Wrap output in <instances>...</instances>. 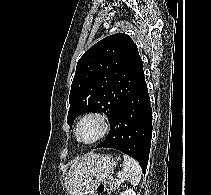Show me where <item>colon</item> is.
Masks as SVG:
<instances>
[{
	"label": "colon",
	"instance_id": "5ec220e1",
	"mask_svg": "<svg viewBox=\"0 0 211 195\" xmlns=\"http://www.w3.org/2000/svg\"><path fill=\"white\" fill-rule=\"evenodd\" d=\"M106 190V187H105V185H103V184H101V185H99L98 187H97V191L99 192V193H102V192H104Z\"/></svg>",
	"mask_w": 211,
	"mask_h": 195
}]
</instances>
